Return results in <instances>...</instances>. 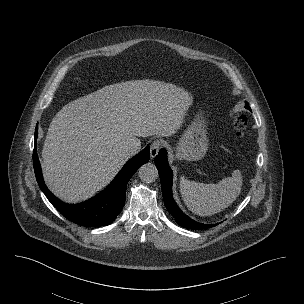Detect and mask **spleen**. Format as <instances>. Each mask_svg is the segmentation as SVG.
<instances>
[{"mask_svg":"<svg viewBox=\"0 0 304 304\" xmlns=\"http://www.w3.org/2000/svg\"><path fill=\"white\" fill-rule=\"evenodd\" d=\"M242 176L235 170L217 184L180 180V192L188 209L200 216H210L227 208L241 192Z\"/></svg>","mask_w":304,"mask_h":304,"instance_id":"3e777b00","label":"spleen"}]
</instances>
